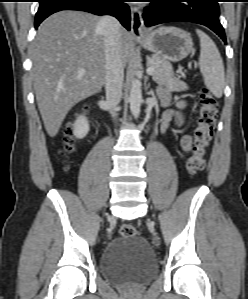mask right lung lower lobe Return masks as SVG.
Masks as SVG:
<instances>
[{
  "label": "right lung lower lobe",
  "instance_id": "right-lung-lower-lobe-1",
  "mask_svg": "<svg viewBox=\"0 0 248 299\" xmlns=\"http://www.w3.org/2000/svg\"><path fill=\"white\" fill-rule=\"evenodd\" d=\"M125 0H39L35 28L49 15L61 10H80L96 15H112L130 30V10Z\"/></svg>",
  "mask_w": 248,
  "mask_h": 299
}]
</instances>
